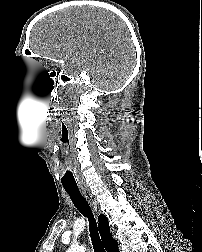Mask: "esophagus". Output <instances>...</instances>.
<instances>
[{"mask_svg":"<svg viewBox=\"0 0 202 252\" xmlns=\"http://www.w3.org/2000/svg\"><path fill=\"white\" fill-rule=\"evenodd\" d=\"M81 192L84 195V197L87 199V201L90 203L92 206L93 210L97 212V203L96 200L94 199L92 193L90 192L88 187H81Z\"/></svg>","mask_w":202,"mask_h":252,"instance_id":"esophagus-1","label":"esophagus"}]
</instances>
